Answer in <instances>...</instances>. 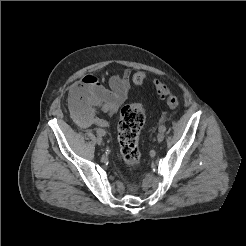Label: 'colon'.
<instances>
[{
  "label": "colon",
  "instance_id": "obj_1",
  "mask_svg": "<svg viewBox=\"0 0 246 246\" xmlns=\"http://www.w3.org/2000/svg\"><path fill=\"white\" fill-rule=\"evenodd\" d=\"M146 78L147 74L139 71L133 75L132 81L135 85H141ZM154 87L159 97L165 101L170 109H176L179 106V99L170 92L163 81L155 79ZM144 123L145 113L142 104L132 103L121 109L118 141L123 160L129 167H136L140 163L141 154L138 147V138Z\"/></svg>",
  "mask_w": 246,
  "mask_h": 246
}]
</instances>
